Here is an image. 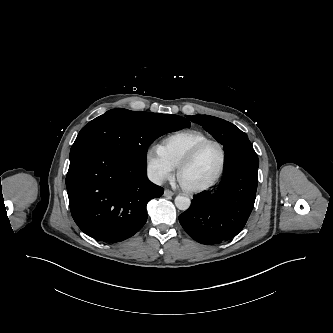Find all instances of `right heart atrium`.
<instances>
[{
  "label": "right heart atrium",
  "instance_id": "1",
  "mask_svg": "<svg viewBox=\"0 0 333 333\" xmlns=\"http://www.w3.org/2000/svg\"><path fill=\"white\" fill-rule=\"evenodd\" d=\"M146 168L151 179L161 184L173 177L175 166L162 154L159 147L152 146L145 154Z\"/></svg>",
  "mask_w": 333,
  "mask_h": 333
}]
</instances>
